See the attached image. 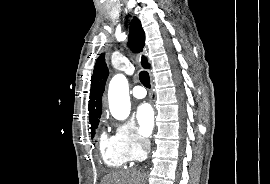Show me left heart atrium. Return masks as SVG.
<instances>
[{
	"label": "left heart atrium",
	"instance_id": "1",
	"mask_svg": "<svg viewBox=\"0 0 270 184\" xmlns=\"http://www.w3.org/2000/svg\"><path fill=\"white\" fill-rule=\"evenodd\" d=\"M136 118L143 135H150L154 124V112L147 103L141 104L136 112Z\"/></svg>",
	"mask_w": 270,
	"mask_h": 184
}]
</instances>
